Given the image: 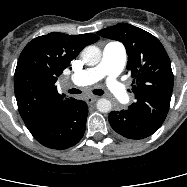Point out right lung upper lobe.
Returning <instances> with one entry per match:
<instances>
[{"mask_svg":"<svg viewBox=\"0 0 187 187\" xmlns=\"http://www.w3.org/2000/svg\"><path fill=\"white\" fill-rule=\"evenodd\" d=\"M99 40L88 33H49L31 40L18 59L14 89L19 113L28 128H35L72 98L60 95L55 83L82 49Z\"/></svg>","mask_w":187,"mask_h":187,"instance_id":"1","label":"right lung upper lobe"}]
</instances>
